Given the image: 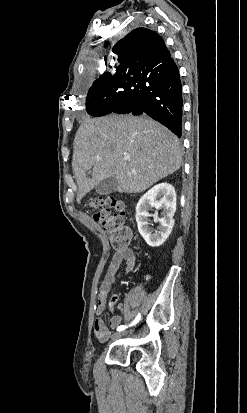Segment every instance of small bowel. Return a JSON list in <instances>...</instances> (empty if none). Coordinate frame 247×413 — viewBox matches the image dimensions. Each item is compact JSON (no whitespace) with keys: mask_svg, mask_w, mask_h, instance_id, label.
<instances>
[{"mask_svg":"<svg viewBox=\"0 0 247 413\" xmlns=\"http://www.w3.org/2000/svg\"><path fill=\"white\" fill-rule=\"evenodd\" d=\"M125 262V267L120 270L121 264ZM135 266V254L132 249H125L123 251L116 252L103 276L100 289L97 296V317L94 321V334L100 342H107L111 337V332L107 328L102 315L105 312L107 305V297L114 284L115 280L125 274L130 273ZM119 299L118 295H113L109 300V308L114 309ZM122 322V318L119 315H114L110 318V326L112 328H118Z\"/></svg>","mask_w":247,"mask_h":413,"instance_id":"small-bowel-1","label":"small bowel"}]
</instances>
